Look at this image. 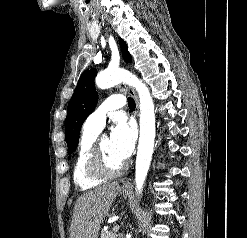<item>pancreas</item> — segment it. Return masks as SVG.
Instances as JSON below:
<instances>
[{
	"label": "pancreas",
	"mask_w": 247,
	"mask_h": 238,
	"mask_svg": "<svg viewBox=\"0 0 247 238\" xmlns=\"http://www.w3.org/2000/svg\"><path fill=\"white\" fill-rule=\"evenodd\" d=\"M100 238H116L115 234L111 231H102Z\"/></svg>",
	"instance_id": "obj_1"
}]
</instances>
